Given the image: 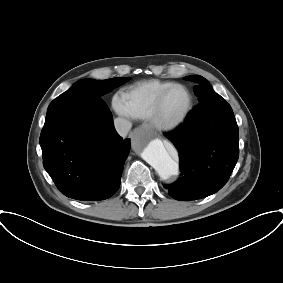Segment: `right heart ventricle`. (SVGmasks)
Instances as JSON below:
<instances>
[{
	"instance_id": "obj_1",
	"label": "right heart ventricle",
	"mask_w": 283,
	"mask_h": 283,
	"mask_svg": "<svg viewBox=\"0 0 283 283\" xmlns=\"http://www.w3.org/2000/svg\"><path fill=\"white\" fill-rule=\"evenodd\" d=\"M172 84L159 79L142 81L123 92L121 99L132 118L149 119L159 94Z\"/></svg>"
}]
</instances>
